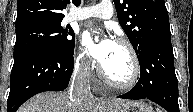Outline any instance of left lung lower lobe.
<instances>
[{
  "label": "left lung lower lobe",
  "mask_w": 193,
  "mask_h": 112,
  "mask_svg": "<svg viewBox=\"0 0 193 112\" xmlns=\"http://www.w3.org/2000/svg\"><path fill=\"white\" fill-rule=\"evenodd\" d=\"M140 79L123 99H149L168 112H179L178 80L174 70L171 35L152 42L138 58Z\"/></svg>",
  "instance_id": "left-lung-lower-lobe-1"
}]
</instances>
